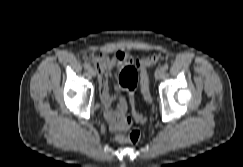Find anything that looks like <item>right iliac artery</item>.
<instances>
[{"instance_id":"obj_1","label":"right iliac artery","mask_w":243,"mask_h":167,"mask_svg":"<svg viewBox=\"0 0 243 167\" xmlns=\"http://www.w3.org/2000/svg\"><path fill=\"white\" fill-rule=\"evenodd\" d=\"M83 66H84L85 69H89L90 68V64L89 63H84Z\"/></svg>"}]
</instances>
